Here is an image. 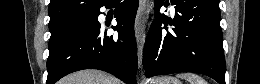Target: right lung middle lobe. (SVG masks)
Here are the masks:
<instances>
[{
	"label": "right lung middle lobe",
	"mask_w": 260,
	"mask_h": 84,
	"mask_svg": "<svg viewBox=\"0 0 260 84\" xmlns=\"http://www.w3.org/2000/svg\"><path fill=\"white\" fill-rule=\"evenodd\" d=\"M97 23L96 13L81 16L70 22L62 24L58 27L49 28L51 37L49 41V50L51 51L57 45H59L66 37L72 33L84 29L90 28Z\"/></svg>",
	"instance_id": "obj_1"
}]
</instances>
